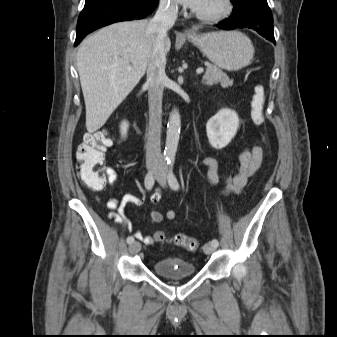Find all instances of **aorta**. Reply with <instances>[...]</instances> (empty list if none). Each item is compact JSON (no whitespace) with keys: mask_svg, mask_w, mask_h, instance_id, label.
Instances as JSON below:
<instances>
[{"mask_svg":"<svg viewBox=\"0 0 337 337\" xmlns=\"http://www.w3.org/2000/svg\"><path fill=\"white\" fill-rule=\"evenodd\" d=\"M181 128L180 114L177 109L172 110L169 116L166 132V143L164 154L166 157L172 158L176 155L179 143Z\"/></svg>","mask_w":337,"mask_h":337,"instance_id":"1","label":"aorta"}]
</instances>
